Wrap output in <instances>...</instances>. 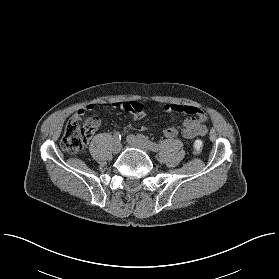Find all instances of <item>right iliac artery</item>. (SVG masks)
<instances>
[{
    "mask_svg": "<svg viewBox=\"0 0 279 279\" xmlns=\"http://www.w3.org/2000/svg\"><path fill=\"white\" fill-rule=\"evenodd\" d=\"M114 142L117 143V142H120L121 140V134L119 132H115L114 136Z\"/></svg>",
    "mask_w": 279,
    "mask_h": 279,
    "instance_id": "1",
    "label": "right iliac artery"
}]
</instances>
